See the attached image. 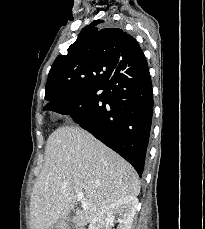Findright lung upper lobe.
<instances>
[{"mask_svg":"<svg viewBox=\"0 0 205 229\" xmlns=\"http://www.w3.org/2000/svg\"><path fill=\"white\" fill-rule=\"evenodd\" d=\"M95 20L85 26L67 55H59L48 74L49 103L87 89L96 76H110L120 62L135 63L143 54L138 42L121 29Z\"/></svg>","mask_w":205,"mask_h":229,"instance_id":"obj_1","label":"right lung upper lobe"}]
</instances>
